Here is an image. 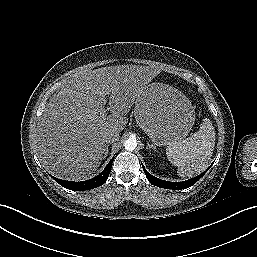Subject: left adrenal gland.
I'll return each mask as SVG.
<instances>
[{"label": "left adrenal gland", "instance_id": "1", "mask_svg": "<svg viewBox=\"0 0 257 257\" xmlns=\"http://www.w3.org/2000/svg\"><path fill=\"white\" fill-rule=\"evenodd\" d=\"M151 148L156 151V147L153 145H150L149 142H147V149L151 150Z\"/></svg>", "mask_w": 257, "mask_h": 257}]
</instances>
